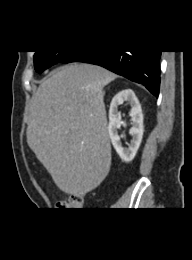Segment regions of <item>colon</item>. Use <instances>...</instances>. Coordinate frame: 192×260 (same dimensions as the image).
<instances>
[{
  "label": "colon",
  "instance_id": "1",
  "mask_svg": "<svg viewBox=\"0 0 192 260\" xmlns=\"http://www.w3.org/2000/svg\"><path fill=\"white\" fill-rule=\"evenodd\" d=\"M83 197L81 195H72L68 200L60 201L57 203V208L60 210H75L83 205Z\"/></svg>",
  "mask_w": 192,
  "mask_h": 260
}]
</instances>
